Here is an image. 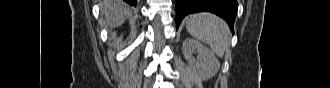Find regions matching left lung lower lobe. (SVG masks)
Returning a JSON list of instances; mask_svg holds the SVG:
<instances>
[{"label":"left lung lower lobe","mask_w":330,"mask_h":88,"mask_svg":"<svg viewBox=\"0 0 330 88\" xmlns=\"http://www.w3.org/2000/svg\"><path fill=\"white\" fill-rule=\"evenodd\" d=\"M237 9V0H176V29L186 15L207 11L225 19L234 34L233 26Z\"/></svg>","instance_id":"0a47b994"}]
</instances>
